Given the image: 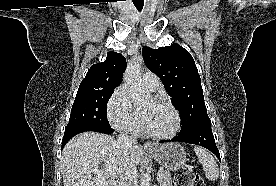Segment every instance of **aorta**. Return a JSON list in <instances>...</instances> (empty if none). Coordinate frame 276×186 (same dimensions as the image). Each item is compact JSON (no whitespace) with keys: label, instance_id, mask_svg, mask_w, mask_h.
Wrapping results in <instances>:
<instances>
[{"label":"aorta","instance_id":"762f6f07","mask_svg":"<svg viewBox=\"0 0 276 186\" xmlns=\"http://www.w3.org/2000/svg\"><path fill=\"white\" fill-rule=\"evenodd\" d=\"M143 63V58L141 56L135 57L127 64L124 73L125 87L132 98L133 102L138 104L150 96L146 94L141 80V64ZM151 176L149 173H143L141 177L140 186H151L150 185Z\"/></svg>","mask_w":276,"mask_h":186}]
</instances>
